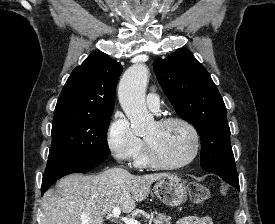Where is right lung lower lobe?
Returning a JSON list of instances; mask_svg holds the SVG:
<instances>
[{
  "instance_id": "1",
  "label": "right lung lower lobe",
  "mask_w": 275,
  "mask_h": 224,
  "mask_svg": "<svg viewBox=\"0 0 275 224\" xmlns=\"http://www.w3.org/2000/svg\"><path fill=\"white\" fill-rule=\"evenodd\" d=\"M107 157L108 156H100L86 163L75 164L72 166L64 167L57 171L45 173L43 176L42 187H41L42 195L52 184H54L61 177L71 173H85L93 169L95 166H97L99 163H101L105 159H107Z\"/></svg>"
}]
</instances>
